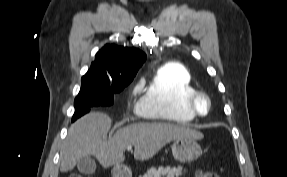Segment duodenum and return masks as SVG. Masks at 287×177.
<instances>
[{"label":"duodenum","instance_id":"duodenum-1","mask_svg":"<svg viewBox=\"0 0 287 177\" xmlns=\"http://www.w3.org/2000/svg\"><path fill=\"white\" fill-rule=\"evenodd\" d=\"M113 177H130L126 166H118L113 169Z\"/></svg>","mask_w":287,"mask_h":177}]
</instances>
